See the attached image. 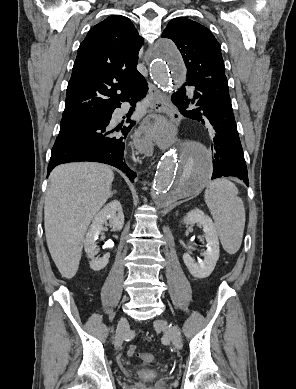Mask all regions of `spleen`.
Wrapping results in <instances>:
<instances>
[{
    "label": "spleen",
    "instance_id": "spleen-1",
    "mask_svg": "<svg viewBox=\"0 0 296 389\" xmlns=\"http://www.w3.org/2000/svg\"><path fill=\"white\" fill-rule=\"evenodd\" d=\"M204 199L224 250L235 254L241 246L245 227V209L237 187L227 179H216L208 184Z\"/></svg>",
    "mask_w": 296,
    "mask_h": 389
}]
</instances>
